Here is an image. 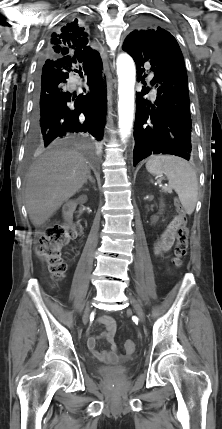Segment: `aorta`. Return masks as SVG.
<instances>
[{
	"instance_id": "1",
	"label": "aorta",
	"mask_w": 222,
	"mask_h": 429,
	"mask_svg": "<svg viewBox=\"0 0 222 429\" xmlns=\"http://www.w3.org/2000/svg\"><path fill=\"white\" fill-rule=\"evenodd\" d=\"M118 75V115L119 132L123 143L131 134L134 119V87L136 69L133 59L125 53L120 54L116 61Z\"/></svg>"
}]
</instances>
